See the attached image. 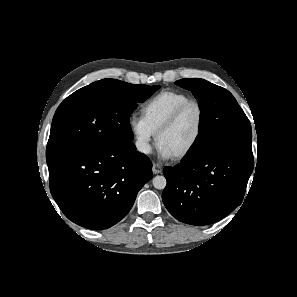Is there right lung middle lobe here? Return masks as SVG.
Here are the masks:
<instances>
[{
	"instance_id": "1",
	"label": "right lung middle lobe",
	"mask_w": 297,
	"mask_h": 297,
	"mask_svg": "<svg viewBox=\"0 0 297 297\" xmlns=\"http://www.w3.org/2000/svg\"><path fill=\"white\" fill-rule=\"evenodd\" d=\"M159 87L103 79L71 94L53 117L47 164L82 147L131 142V113Z\"/></svg>"
}]
</instances>
